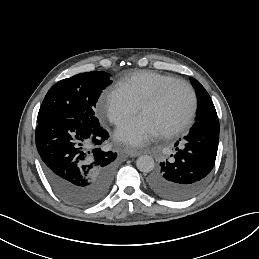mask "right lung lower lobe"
Returning a JSON list of instances; mask_svg holds the SVG:
<instances>
[{"mask_svg": "<svg viewBox=\"0 0 259 259\" xmlns=\"http://www.w3.org/2000/svg\"><path fill=\"white\" fill-rule=\"evenodd\" d=\"M108 132L74 119H51L36 127V147L53 190L67 203L85 207L109 191L117 153L103 149Z\"/></svg>", "mask_w": 259, "mask_h": 259, "instance_id": "right-lung-lower-lobe-1", "label": "right lung lower lobe"}]
</instances>
